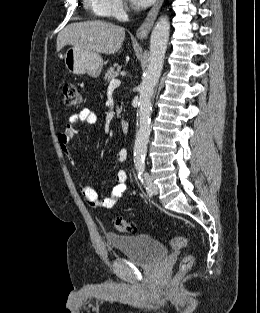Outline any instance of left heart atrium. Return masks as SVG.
I'll return each mask as SVG.
<instances>
[{
	"mask_svg": "<svg viewBox=\"0 0 260 313\" xmlns=\"http://www.w3.org/2000/svg\"><path fill=\"white\" fill-rule=\"evenodd\" d=\"M130 1L134 6L142 9L151 5L154 0H130Z\"/></svg>",
	"mask_w": 260,
	"mask_h": 313,
	"instance_id": "left-heart-atrium-1",
	"label": "left heart atrium"
}]
</instances>
